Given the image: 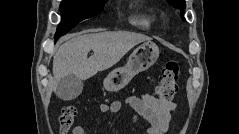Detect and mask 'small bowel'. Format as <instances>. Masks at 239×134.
<instances>
[{
  "label": "small bowel",
  "instance_id": "1",
  "mask_svg": "<svg viewBox=\"0 0 239 134\" xmlns=\"http://www.w3.org/2000/svg\"><path fill=\"white\" fill-rule=\"evenodd\" d=\"M127 104L133 110V120L144 119L148 123L145 134H164L169 121L175 112V104L171 101L155 97L148 93L134 95L127 99ZM122 108L120 101L102 103L99 110L102 113L116 114ZM72 134H89L84 126H76Z\"/></svg>",
  "mask_w": 239,
  "mask_h": 134
}]
</instances>
